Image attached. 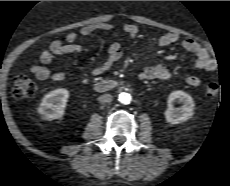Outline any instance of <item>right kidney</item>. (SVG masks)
<instances>
[{
    "instance_id": "1",
    "label": "right kidney",
    "mask_w": 230,
    "mask_h": 186,
    "mask_svg": "<svg viewBox=\"0 0 230 186\" xmlns=\"http://www.w3.org/2000/svg\"><path fill=\"white\" fill-rule=\"evenodd\" d=\"M69 98V91L59 88L46 94L38 108L39 114L45 120L59 119L64 115Z\"/></svg>"
}]
</instances>
